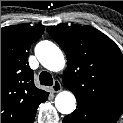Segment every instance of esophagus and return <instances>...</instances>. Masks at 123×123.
Returning <instances> with one entry per match:
<instances>
[{
	"label": "esophagus",
	"instance_id": "1",
	"mask_svg": "<svg viewBox=\"0 0 123 123\" xmlns=\"http://www.w3.org/2000/svg\"><path fill=\"white\" fill-rule=\"evenodd\" d=\"M61 89H62V85H61L60 81L55 80L53 85L51 86L52 92L57 93V92L61 91Z\"/></svg>",
	"mask_w": 123,
	"mask_h": 123
}]
</instances>
